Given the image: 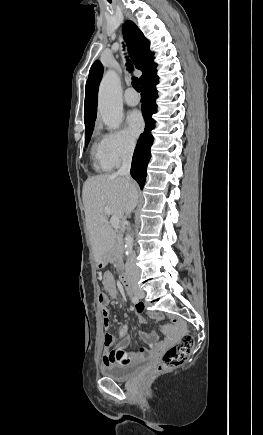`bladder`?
Returning <instances> with one entry per match:
<instances>
[{
    "mask_svg": "<svg viewBox=\"0 0 263 435\" xmlns=\"http://www.w3.org/2000/svg\"><path fill=\"white\" fill-rule=\"evenodd\" d=\"M146 363V360H140L126 365H109L102 368L104 376L116 381H126L135 375L140 368Z\"/></svg>",
    "mask_w": 263,
    "mask_h": 435,
    "instance_id": "31cf9c89",
    "label": "bladder"
}]
</instances>
